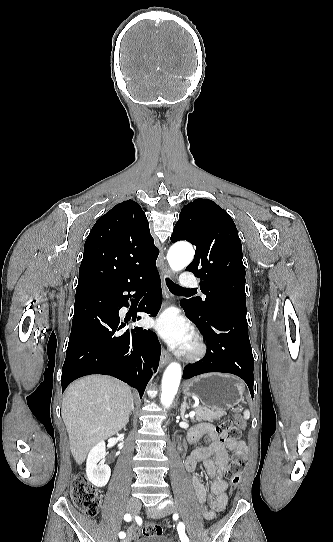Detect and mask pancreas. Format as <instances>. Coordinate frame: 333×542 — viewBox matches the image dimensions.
Wrapping results in <instances>:
<instances>
[{
    "label": "pancreas",
    "instance_id": "pancreas-1",
    "mask_svg": "<svg viewBox=\"0 0 333 542\" xmlns=\"http://www.w3.org/2000/svg\"><path fill=\"white\" fill-rule=\"evenodd\" d=\"M195 412V418H191L192 422H203V420L214 422V420H220L227 414V412H216V410H209V408H203V406H198Z\"/></svg>",
    "mask_w": 333,
    "mask_h": 542
}]
</instances>
